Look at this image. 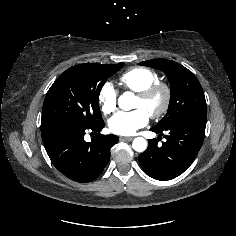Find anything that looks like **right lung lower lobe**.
Here are the masks:
<instances>
[{
	"label": "right lung lower lobe",
	"mask_w": 236,
	"mask_h": 236,
	"mask_svg": "<svg viewBox=\"0 0 236 236\" xmlns=\"http://www.w3.org/2000/svg\"><path fill=\"white\" fill-rule=\"evenodd\" d=\"M103 128V121L93 126L60 123L41 130V136L53 165L69 179L87 183L103 171L110 148L119 140L116 135H100ZM87 130L96 134L92 142L84 140Z\"/></svg>",
	"instance_id": "98d812e1"
}]
</instances>
